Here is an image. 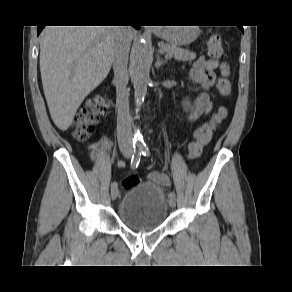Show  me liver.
<instances>
[{
	"label": "liver",
	"instance_id": "liver-1",
	"mask_svg": "<svg viewBox=\"0 0 292 292\" xmlns=\"http://www.w3.org/2000/svg\"><path fill=\"white\" fill-rule=\"evenodd\" d=\"M118 26H46L40 72L51 118L67 130L86 96L108 75ZM132 38V30L128 31Z\"/></svg>",
	"mask_w": 292,
	"mask_h": 292
}]
</instances>
